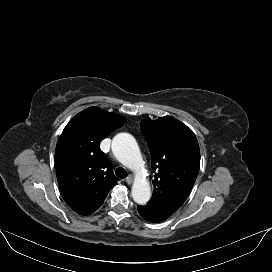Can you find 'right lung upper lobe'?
I'll return each instance as SVG.
<instances>
[{
	"instance_id": "cb5924a9",
	"label": "right lung upper lobe",
	"mask_w": 272,
	"mask_h": 272,
	"mask_svg": "<svg viewBox=\"0 0 272 272\" xmlns=\"http://www.w3.org/2000/svg\"><path fill=\"white\" fill-rule=\"evenodd\" d=\"M123 124L121 115L90 107L63 130L55 151L56 175L64 200L75 212L91 214L117 185L112 164L99 145Z\"/></svg>"
}]
</instances>
